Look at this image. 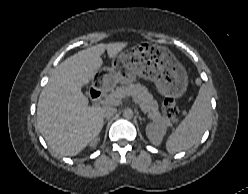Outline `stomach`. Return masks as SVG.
<instances>
[{
  "label": "stomach",
  "mask_w": 248,
  "mask_h": 194,
  "mask_svg": "<svg viewBox=\"0 0 248 194\" xmlns=\"http://www.w3.org/2000/svg\"><path fill=\"white\" fill-rule=\"evenodd\" d=\"M139 76L155 83L158 92L165 96H179L188 85L184 67L165 47L146 42L122 52L107 68L103 84H130Z\"/></svg>",
  "instance_id": "1"
}]
</instances>
